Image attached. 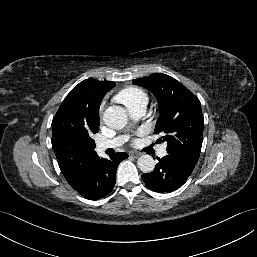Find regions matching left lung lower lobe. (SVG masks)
Returning a JSON list of instances; mask_svg holds the SVG:
<instances>
[{
    "mask_svg": "<svg viewBox=\"0 0 257 257\" xmlns=\"http://www.w3.org/2000/svg\"><path fill=\"white\" fill-rule=\"evenodd\" d=\"M155 169L142 175L145 184L155 192H171L180 188L192 173L195 163L176 154L159 159Z\"/></svg>",
    "mask_w": 257,
    "mask_h": 257,
    "instance_id": "obj_1",
    "label": "left lung lower lobe"
}]
</instances>
